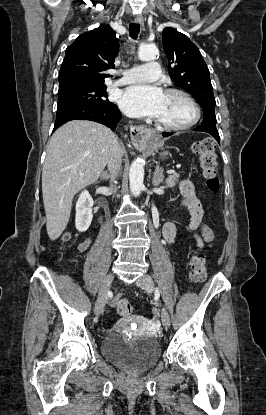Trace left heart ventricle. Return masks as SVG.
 Listing matches in <instances>:
<instances>
[{"instance_id": "obj_1", "label": "left heart ventricle", "mask_w": 266, "mask_h": 415, "mask_svg": "<svg viewBox=\"0 0 266 415\" xmlns=\"http://www.w3.org/2000/svg\"><path fill=\"white\" fill-rule=\"evenodd\" d=\"M192 117V108L181 97L165 95L163 108L157 120L169 125H181L190 121Z\"/></svg>"}]
</instances>
